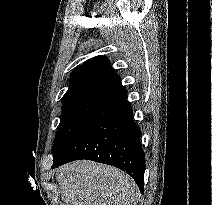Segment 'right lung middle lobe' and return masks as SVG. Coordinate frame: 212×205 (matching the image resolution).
<instances>
[{"instance_id":"1","label":"right lung middle lobe","mask_w":212,"mask_h":205,"mask_svg":"<svg viewBox=\"0 0 212 205\" xmlns=\"http://www.w3.org/2000/svg\"><path fill=\"white\" fill-rule=\"evenodd\" d=\"M101 96H89L63 103L62 117L53 146V159L71 142L97 107Z\"/></svg>"}]
</instances>
